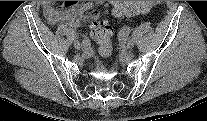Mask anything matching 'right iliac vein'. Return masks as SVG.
Returning a JSON list of instances; mask_svg holds the SVG:
<instances>
[{"label": "right iliac vein", "instance_id": "63e3f726", "mask_svg": "<svg viewBox=\"0 0 207 121\" xmlns=\"http://www.w3.org/2000/svg\"><path fill=\"white\" fill-rule=\"evenodd\" d=\"M74 47L76 48V49H79L80 47H81V44H80V42L79 41H74Z\"/></svg>", "mask_w": 207, "mask_h": 121}]
</instances>
